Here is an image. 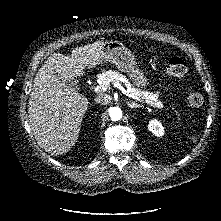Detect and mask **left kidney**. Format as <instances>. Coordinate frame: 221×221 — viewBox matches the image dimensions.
<instances>
[{
	"mask_svg": "<svg viewBox=\"0 0 221 221\" xmlns=\"http://www.w3.org/2000/svg\"><path fill=\"white\" fill-rule=\"evenodd\" d=\"M148 128L157 137H161L164 135V128L161 122L156 119L149 122Z\"/></svg>",
	"mask_w": 221,
	"mask_h": 221,
	"instance_id": "1",
	"label": "left kidney"
}]
</instances>
